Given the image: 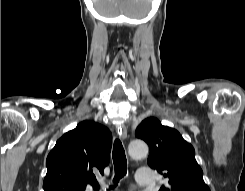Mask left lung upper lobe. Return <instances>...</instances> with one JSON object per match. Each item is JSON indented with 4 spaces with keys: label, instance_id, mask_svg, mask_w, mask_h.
Returning a JSON list of instances; mask_svg holds the SVG:
<instances>
[{
    "label": "left lung upper lobe",
    "instance_id": "5c2ea615",
    "mask_svg": "<svg viewBox=\"0 0 245 191\" xmlns=\"http://www.w3.org/2000/svg\"><path fill=\"white\" fill-rule=\"evenodd\" d=\"M135 135L149 145L148 165L169 180L159 191H210L193 146L176 129L150 117L139 124Z\"/></svg>",
    "mask_w": 245,
    "mask_h": 191
}]
</instances>
